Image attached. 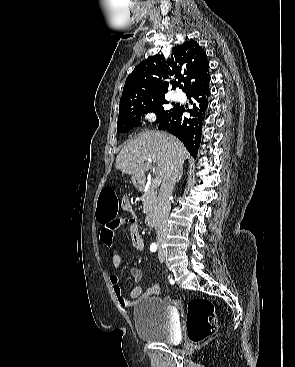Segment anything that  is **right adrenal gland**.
<instances>
[{
    "mask_svg": "<svg viewBox=\"0 0 295 367\" xmlns=\"http://www.w3.org/2000/svg\"><path fill=\"white\" fill-rule=\"evenodd\" d=\"M182 174H183V172L181 171L178 181L181 180Z\"/></svg>",
    "mask_w": 295,
    "mask_h": 367,
    "instance_id": "2a0ac1e0",
    "label": "right adrenal gland"
}]
</instances>
